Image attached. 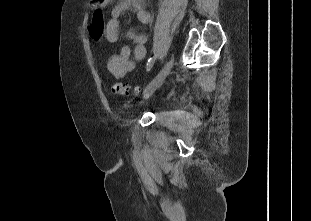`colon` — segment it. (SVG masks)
Here are the masks:
<instances>
[{
  "instance_id": "colon-1",
  "label": "colon",
  "mask_w": 311,
  "mask_h": 221,
  "mask_svg": "<svg viewBox=\"0 0 311 221\" xmlns=\"http://www.w3.org/2000/svg\"><path fill=\"white\" fill-rule=\"evenodd\" d=\"M106 30V24L104 21V15L102 11H96L93 14V19L89 24V31L91 36L98 40L99 38H103L104 32ZM138 89L130 88L124 83H115L112 86V93L113 94H120V95H135Z\"/></svg>"
}]
</instances>
